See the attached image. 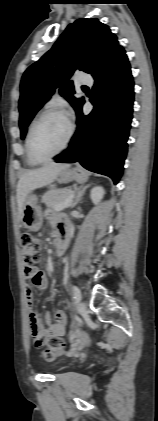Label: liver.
Instances as JSON below:
<instances>
[{"mask_svg":"<svg viewBox=\"0 0 158 421\" xmlns=\"http://www.w3.org/2000/svg\"><path fill=\"white\" fill-rule=\"evenodd\" d=\"M70 167L69 164L51 163L39 169L30 170L21 175L17 185V203L21 217L24 202L33 190L51 184L61 170Z\"/></svg>","mask_w":158,"mask_h":421,"instance_id":"6515ba94","label":"liver"}]
</instances>
